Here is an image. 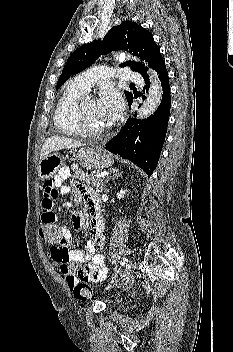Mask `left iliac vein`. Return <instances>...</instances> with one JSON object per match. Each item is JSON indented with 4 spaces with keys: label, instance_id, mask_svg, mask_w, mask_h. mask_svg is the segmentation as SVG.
<instances>
[{
    "label": "left iliac vein",
    "instance_id": "1",
    "mask_svg": "<svg viewBox=\"0 0 233 352\" xmlns=\"http://www.w3.org/2000/svg\"><path fill=\"white\" fill-rule=\"evenodd\" d=\"M135 267H136V261L131 260L130 263H129V266H128L127 273L128 274L132 273V271L135 269Z\"/></svg>",
    "mask_w": 233,
    "mask_h": 352
}]
</instances>
